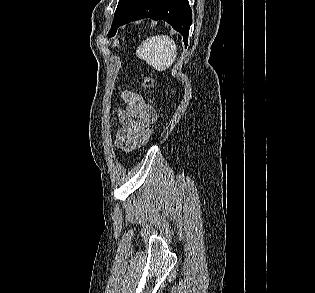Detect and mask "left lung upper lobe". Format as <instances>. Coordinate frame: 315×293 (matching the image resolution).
Returning a JSON list of instances; mask_svg holds the SVG:
<instances>
[{"label": "left lung upper lobe", "instance_id": "1", "mask_svg": "<svg viewBox=\"0 0 315 293\" xmlns=\"http://www.w3.org/2000/svg\"><path fill=\"white\" fill-rule=\"evenodd\" d=\"M139 2V0H119L114 20L108 36H114L119 21Z\"/></svg>", "mask_w": 315, "mask_h": 293}]
</instances>
